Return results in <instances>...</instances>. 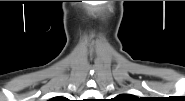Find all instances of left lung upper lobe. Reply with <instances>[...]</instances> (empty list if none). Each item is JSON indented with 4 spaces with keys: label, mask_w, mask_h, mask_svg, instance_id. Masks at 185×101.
<instances>
[{
    "label": "left lung upper lobe",
    "mask_w": 185,
    "mask_h": 101,
    "mask_svg": "<svg viewBox=\"0 0 185 101\" xmlns=\"http://www.w3.org/2000/svg\"><path fill=\"white\" fill-rule=\"evenodd\" d=\"M120 99H130L131 95H120Z\"/></svg>",
    "instance_id": "5c2ea615"
}]
</instances>
